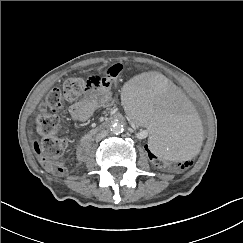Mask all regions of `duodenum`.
Returning <instances> with one entry per match:
<instances>
[{"label": "duodenum", "instance_id": "410a0bca", "mask_svg": "<svg viewBox=\"0 0 243 243\" xmlns=\"http://www.w3.org/2000/svg\"><path fill=\"white\" fill-rule=\"evenodd\" d=\"M122 118L123 117L120 114H115L110 118L109 122H118V121L122 120ZM88 150H89V141H87V140L83 141L78 147V151H77L78 156L80 158H85Z\"/></svg>", "mask_w": 243, "mask_h": 243}]
</instances>
